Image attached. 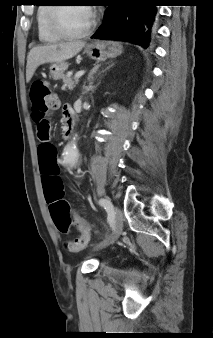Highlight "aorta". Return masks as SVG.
Segmentation results:
<instances>
[{
  "mask_svg": "<svg viewBox=\"0 0 213 338\" xmlns=\"http://www.w3.org/2000/svg\"><path fill=\"white\" fill-rule=\"evenodd\" d=\"M78 158L79 153L74 138L73 141L65 149L63 158L65 166L68 168H74L77 165Z\"/></svg>",
  "mask_w": 213,
  "mask_h": 338,
  "instance_id": "762f6f07",
  "label": "aorta"
}]
</instances>
